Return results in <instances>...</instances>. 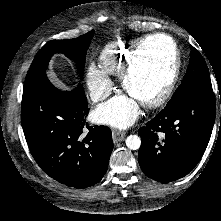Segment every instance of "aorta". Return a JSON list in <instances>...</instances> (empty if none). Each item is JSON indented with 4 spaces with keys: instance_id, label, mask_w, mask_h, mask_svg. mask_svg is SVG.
<instances>
[{
    "instance_id": "1",
    "label": "aorta",
    "mask_w": 221,
    "mask_h": 221,
    "mask_svg": "<svg viewBox=\"0 0 221 221\" xmlns=\"http://www.w3.org/2000/svg\"><path fill=\"white\" fill-rule=\"evenodd\" d=\"M126 146L131 149V150H137L140 148L141 146V139L139 136L137 135H129L126 138Z\"/></svg>"
}]
</instances>
